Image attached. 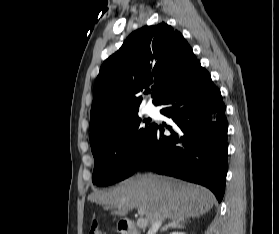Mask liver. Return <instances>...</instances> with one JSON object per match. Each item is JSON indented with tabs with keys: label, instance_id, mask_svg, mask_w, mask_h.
Segmentation results:
<instances>
[{
	"label": "liver",
	"instance_id": "obj_1",
	"mask_svg": "<svg viewBox=\"0 0 279 234\" xmlns=\"http://www.w3.org/2000/svg\"><path fill=\"white\" fill-rule=\"evenodd\" d=\"M89 200L114 206L112 214L118 216L142 209L148 224L199 217L215 203L214 195L202 186L151 173L130 177L108 192L93 193Z\"/></svg>",
	"mask_w": 279,
	"mask_h": 234
}]
</instances>
